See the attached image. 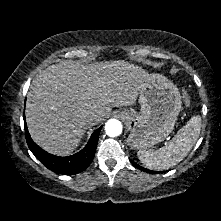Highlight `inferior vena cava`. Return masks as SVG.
<instances>
[{
    "label": "inferior vena cava",
    "mask_w": 221,
    "mask_h": 221,
    "mask_svg": "<svg viewBox=\"0 0 221 221\" xmlns=\"http://www.w3.org/2000/svg\"><path fill=\"white\" fill-rule=\"evenodd\" d=\"M97 121V116L96 115H90L86 118V123L88 125H94Z\"/></svg>",
    "instance_id": "1"
}]
</instances>
